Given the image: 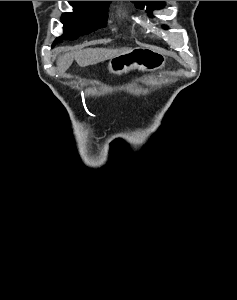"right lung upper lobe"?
I'll return each mask as SVG.
<instances>
[{"label":"right lung upper lobe","mask_w":237,"mask_h":300,"mask_svg":"<svg viewBox=\"0 0 237 300\" xmlns=\"http://www.w3.org/2000/svg\"><path fill=\"white\" fill-rule=\"evenodd\" d=\"M94 2H98V3H108L109 1H94Z\"/></svg>","instance_id":"1"}]
</instances>
